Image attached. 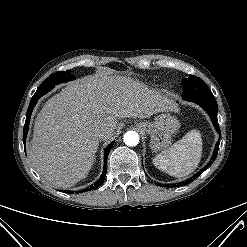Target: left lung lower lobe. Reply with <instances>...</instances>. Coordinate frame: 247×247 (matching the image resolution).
Here are the masks:
<instances>
[{
  "label": "left lung lower lobe",
  "instance_id": "obj_1",
  "mask_svg": "<svg viewBox=\"0 0 247 247\" xmlns=\"http://www.w3.org/2000/svg\"><path fill=\"white\" fill-rule=\"evenodd\" d=\"M187 101H193L196 104L200 105L210 116L213 125L215 126L216 130L219 132L220 135V128H219V124H218V119H217V102L215 100L214 97H210V98H196V99H190ZM219 144L220 141H217L212 158L210 160V162L204 167V169H202L201 171H199L197 174H195L192 178H190L189 180H187L186 182H181V185H183L184 183H189L191 181H193L196 177H198L206 168H208V166L216 159L217 157V153H218V149H219Z\"/></svg>",
  "mask_w": 247,
  "mask_h": 247
}]
</instances>
